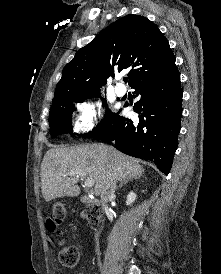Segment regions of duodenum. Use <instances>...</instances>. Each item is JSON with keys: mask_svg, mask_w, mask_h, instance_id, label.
Returning a JSON list of instances; mask_svg holds the SVG:
<instances>
[{"mask_svg": "<svg viewBox=\"0 0 221 274\" xmlns=\"http://www.w3.org/2000/svg\"><path fill=\"white\" fill-rule=\"evenodd\" d=\"M81 201L89 206H92V207H95V206H98L99 203L96 199L90 197V196H87V195H82L81 196Z\"/></svg>", "mask_w": 221, "mask_h": 274, "instance_id": "1", "label": "duodenum"}]
</instances>
